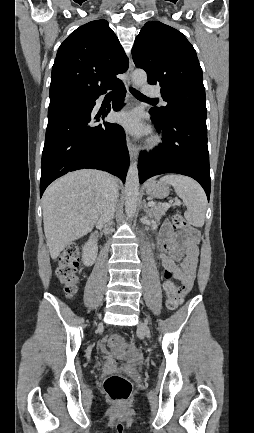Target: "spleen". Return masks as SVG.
I'll list each match as a JSON object with an SVG mask.
<instances>
[{
    "mask_svg": "<svg viewBox=\"0 0 254 433\" xmlns=\"http://www.w3.org/2000/svg\"><path fill=\"white\" fill-rule=\"evenodd\" d=\"M161 181L172 185L187 206L184 213L186 220L195 227H202L207 209V198L202 187L195 180L182 175H165Z\"/></svg>",
    "mask_w": 254,
    "mask_h": 433,
    "instance_id": "obj_1",
    "label": "spleen"
}]
</instances>
